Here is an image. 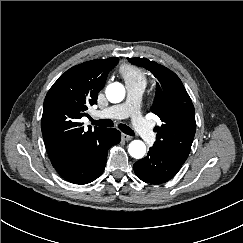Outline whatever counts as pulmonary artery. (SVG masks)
I'll use <instances>...</instances> for the list:
<instances>
[{"mask_svg": "<svg viewBox=\"0 0 243 243\" xmlns=\"http://www.w3.org/2000/svg\"><path fill=\"white\" fill-rule=\"evenodd\" d=\"M144 85L140 83L126 84L127 98L126 101L97 111L96 117L99 118H126L131 117L133 127L141 138L152 143L155 140V134L148 121L141 115L139 111L140 100L144 91Z\"/></svg>", "mask_w": 243, "mask_h": 243, "instance_id": "e3ab8cb5", "label": "pulmonary artery"}]
</instances>
